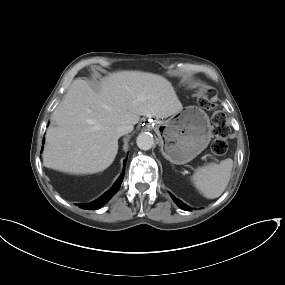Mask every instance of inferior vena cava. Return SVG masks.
Masks as SVG:
<instances>
[{
    "instance_id": "602c4592",
    "label": "inferior vena cava",
    "mask_w": 285,
    "mask_h": 285,
    "mask_svg": "<svg viewBox=\"0 0 285 285\" xmlns=\"http://www.w3.org/2000/svg\"><path fill=\"white\" fill-rule=\"evenodd\" d=\"M133 130V125L131 124H124L121 126H118L116 129V133L118 134L119 137L128 134L129 132H131Z\"/></svg>"
}]
</instances>
